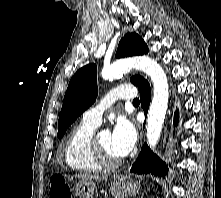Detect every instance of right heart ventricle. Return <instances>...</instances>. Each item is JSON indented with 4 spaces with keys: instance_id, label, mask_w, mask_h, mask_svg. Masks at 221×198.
Here are the masks:
<instances>
[{
    "instance_id": "right-heart-ventricle-1",
    "label": "right heart ventricle",
    "mask_w": 221,
    "mask_h": 198,
    "mask_svg": "<svg viewBox=\"0 0 221 198\" xmlns=\"http://www.w3.org/2000/svg\"><path fill=\"white\" fill-rule=\"evenodd\" d=\"M97 126L82 120L69 133L65 141V162L69 168L82 172H96L102 169L91 145Z\"/></svg>"
}]
</instances>
